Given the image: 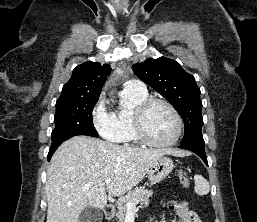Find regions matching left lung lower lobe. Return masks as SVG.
Returning <instances> with one entry per match:
<instances>
[{
	"mask_svg": "<svg viewBox=\"0 0 257 222\" xmlns=\"http://www.w3.org/2000/svg\"><path fill=\"white\" fill-rule=\"evenodd\" d=\"M180 148L186 149V150H189V151H192V152L196 153L199 157H201V159L205 162V164L208 165L207 157H206V154H205V147H200V146H180Z\"/></svg>",
	"mask_w": 257,
	"mask_h": 222,
	"instance_id": "left-lung-lower-lobe-1",
	"label": "left lung lower lobe"
}]
</instances>
